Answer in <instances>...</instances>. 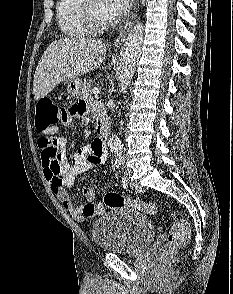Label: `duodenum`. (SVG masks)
Instances as JSON below:
<instances>
[{
	"label": "duodenum",
	"instance_id": "1",
	"mask_svg": "<svg viewBox=\"0 0 233 294\" xmlns=\"http://www.w3.org/2000/svg\"><path fill=\"white\" fill-rule=\"evenodd\" d=\"M95 112L97 115L96 139L105 144L110 132V123L101 106L98 105Z\"/></svg>",
	"mask_w": 233,
	"mask_h": 294
}]
</instances>
